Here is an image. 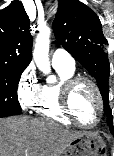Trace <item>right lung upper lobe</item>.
<instances>
[{
  "label": "right lung upper lobe",
  "instance_id": "obj_1",
  "mask_svg": "<svg viewBox=\"0 0 114 156\" xmlns=\"http://www.w3.org/2000/svg\"><path fill=\"white\" fill-rule=\"evenodd\" d=\"M30 21L18 0L0 10V64L26 68L32 59Z\"/></svg>",
  "mask_w": 114,
  "mask_h": 156
}]
</instances>
